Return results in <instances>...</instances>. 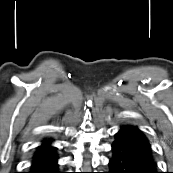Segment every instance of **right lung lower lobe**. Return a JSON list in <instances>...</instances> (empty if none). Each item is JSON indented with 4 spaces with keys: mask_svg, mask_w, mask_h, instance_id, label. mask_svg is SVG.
Returning <instances> with one entry per match:
<instances>
[{
    "mask_svg": "<svg viewBox=\"0 0 173 173\" xmlns=\"http://www.w3.org/2000/svg\"><path fill=\"white\" fill-rule=\"evenodd\" d=\"M28 173H62L58 169L56 148L50 144L39 146L32 157Z\"/></svg>",
    "mask_w": 173,
    "mask_h": 173,
    "instance_id": "1",
    "label": "right lung lower lobe"
}]
</instances>
